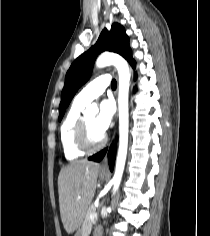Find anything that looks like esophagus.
I'll list each match as a JSON object with an SVG mask.
<instances>
[{
  "label": "esophagus",
  "mask_w": 210,
  "mask_h": 236,
  "mask_svg": "<svg viewBox=\"0 0 210 236\" xmlns=\"http://www.w3.org/2000/svg\"><path fill=\"white\" fill-rule=\"evenodd\" d=\"M100 169L103 170V171L108 170V157L107 156L101 162Z\"/></svg>",
  "instance_id": "obj_1"
}]
</instances>
